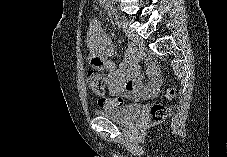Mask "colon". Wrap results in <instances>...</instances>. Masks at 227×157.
I'll use <instances>...</instances> for the list:
<instances>
[{
  "label": "colon",
  "instance_id": "obj_1",
  "mask_svg": "<svg viewBox=\"0 0 227 157\" xmlns=\"http://www.w3.org/2000/svg\"><path fill=\"white\" fill-rule=\"evenodd\" d=\"M98 64L100 62H94ZM88 84L92 90H94L97 94L102 95L104 92V80L103 76L98 73H90L88 75ZM176 91L174 88H168L165 91L164 97L166 100L170 101L175 97ZM99 105L104 108L109 107H118L121 106L123 101L121 98H108V97H100ZM169 113L168 108L161 103H154L150 108V115L153 121L160 122L164 120Z\"/></svg>",
  "mask_w": 227,
  "mask_h": 157
}]
</instances>
